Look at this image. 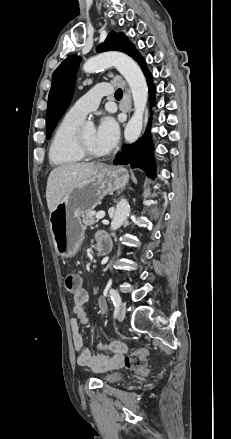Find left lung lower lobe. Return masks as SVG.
Segmentation results:
<instances>
[{"instance_id": "1", "label": "left lung lower lobe", "mask_w": 231, "mask_h": 439, "mask_svg": "<svg viewBox=\"0 0 231 439\" xmlns=\"http://www.w3.org/2000/svg\"><path fill=\"white\" fill-rule=\"evenodd\" d=\"M135 61L140 65L149 86L150 105L155 104L154 85L152 75L146 67L143 57L139 54ZM114 164L128 165L131 168H140L150 178L155 177V163L153 158V146L151 143L150 126L147 127L141 139L132 145H123L122 152L116 155Z\"/></svg>"}]
</instances>
